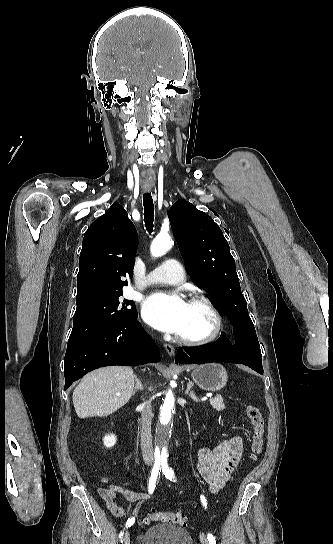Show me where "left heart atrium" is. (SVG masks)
Returning a JSON list of instances; mask_svg holds the SVG:
<instances>
[{
  "instance_id": "39dd6f15",
  "label": "left heart atrium",
  "mask_w": 333,
  "mask_h": 544,
  "mask_svg": "<svg viewBox=\"0 0 333 544\" xmlns=\"http://www.w3.org/2000/svg\"><path fill=\"white\" fill-rule=\"evenodd\" d=\"M187 309L188 303L179 294L155 293L145 300L142 315L154 328L179 334Z\"/></svg>"
}]
</instances>
